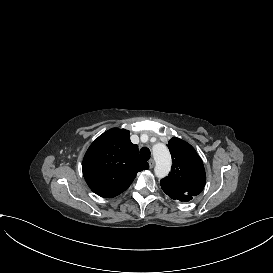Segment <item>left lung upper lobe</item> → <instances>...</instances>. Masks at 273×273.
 I'll return each instance as SVG.
<instances>
[{"label":"left lung upper lobe","mask_w":273,"mask_h":273,"mask_svg":"<svg viewBox=\"0 0 273 273\" xmlns=\"http://www.w3.org/2000/svg\"><path fill=\"white\" fill-rule=\"evenodd\" d=\"M168 148L173 165L169 175L160 181V185L170 198L189 201L201 193L205 186L203 162L195 149L179 138L173 137L168 142Z\"/></svg>","instance_id":"left-lung-upper-lobe-1"}]
</instances>
